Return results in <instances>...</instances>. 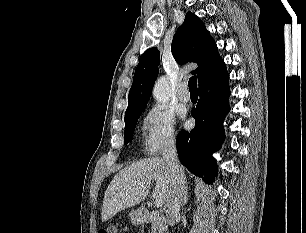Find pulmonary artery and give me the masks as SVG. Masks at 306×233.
<instances>
[{
	"label": "pulmonary artery",
	"instance_id": "e3ab8cb5",
	"mask_svg": "<svg viewBox=\"0 0 306 233\" xmlns=\"http://www.w3.org/2000/svg\"><path fill=\"white\" fill-rule=\"evenodd\" d=\"M178 98L181 102L187 103L190 101V94L188 93L187 90V85L183 84L179 93H178Z\"/></svg>",
	"mask_w": 306,
	"mask_h": 233
}]
</instances>
